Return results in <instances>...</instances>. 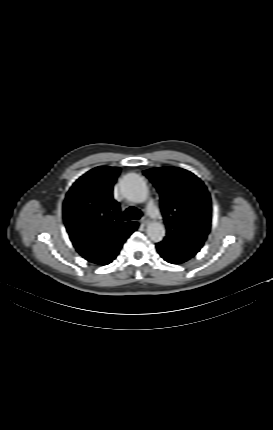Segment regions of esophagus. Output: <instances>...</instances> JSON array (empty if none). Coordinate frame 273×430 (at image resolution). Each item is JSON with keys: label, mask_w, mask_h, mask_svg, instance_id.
<instances>
[{"label": "esophagus", "mask_w": 273, "mask_h": 430, "mask_svg": "<svg viewBox=\"0 0 273 430\" xmlns=\"http://www.w3.org/2000/svg\"><path fill=\"white\" fill-rule=\"evenodd\" d=\"M140 222L143 226H146L148 224V219L146 217H142Z\"/></svg>", "instance_id": "obj_1"}]
</instances>
